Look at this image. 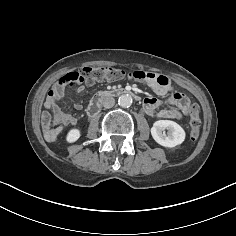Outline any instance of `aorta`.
Instances as JSON below:
<instances>
[{
  "label": "aorta",
  "instance_id": "762f6f07",
  "mask_svg": "<svg viewBox=\"0 0 236 236\" xmlns=\"http://www.w3.org/2000/svg\"><path fill=\"white\" fill-rule=\"evenodd\" d=\"M118 104H119V106H121L123 108H128L132 104V97L128 94H122L118 98Z\"/></svg>",
  "mask_w": 236,
  "mask_h": 236
}]
</instances>
